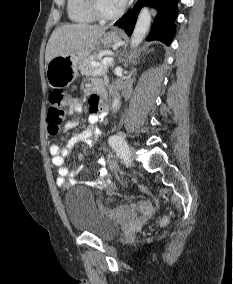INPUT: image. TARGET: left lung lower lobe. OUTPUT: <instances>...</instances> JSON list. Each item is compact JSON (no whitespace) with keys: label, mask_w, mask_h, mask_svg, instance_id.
<instances>
[{"label":"left lung lower lobe","mask_w":233,"mask_h":284,"mask_svg":"<svg viewBox=\"0 0 233 284\" xmlns=\"http://www.w3.org/2000/svg\"><path fill=\"white\" fill-rule=\"evenodd\" d=\"M177 2L178 0H140L132 10L128 11L115 24L124 28L126 33L130 36L141 7L143 5L152 6L157 9V16L147 40H159L169 46L175 34L174 20L178 14Z\"/></svg>","instance_id":"obj_1"}]
</instances>
